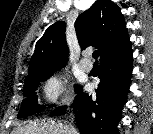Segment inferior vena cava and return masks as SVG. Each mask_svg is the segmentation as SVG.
Wrapping results in <instances>:
<instances>
[{
	"label": "inferior vena cava",
	"instance_id": "obj_1",
	"mask_svg": "<svg viewBox=\"0 0 153 134\" xmlns=\"http://www.w3.org/2000/svg\"><path fill=\"white\" fill-rule=\"evenodd\" d=\"M69 127H70V131H71L70 133L71 134H76V130L74 129V127L71 126V125Z\"/></svg>",
	"mask_w": 153,
	"mask_h": 134
}]
</instances>
